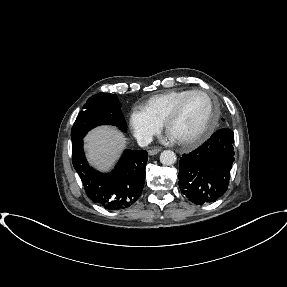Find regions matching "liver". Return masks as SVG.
I'll list each match as a JSON object with an SVG mask.
<instances>
[{"label":"liver","instance_id":"liver-1","mask_svg":"<svg viewBox=\"0 0 287 287\" xmlns=\"http://www.w3.org/2000/svg\"><path fill=\"white\" fill-rule=\"evenodd\" d=\"M90 163L101 171H108L126 145L125 136L115 127L93 129L84 139Z\"/></svg>","mask_w":287,"mask_h":287}]
</instances>
